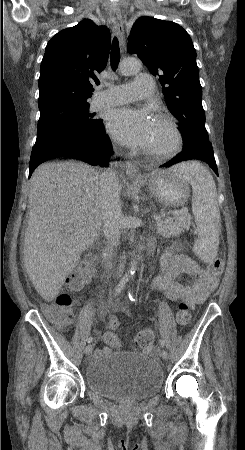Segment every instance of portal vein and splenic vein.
Here are the masks:
<instances>
[{
  "instance_id": "portal-vein-and-splenic-vein-1",
  "label": "portal vein and splenic vein",
  "mask_w": 245,
  "mask_h": 450,
  "mask_svg": "<svg viewBox=\"0 0 245 450\" xmlns=\"http://www.w3.org/2000/svg\"><path fill=\"white\" fill-rule=\"evenodd\" d=\"M182 213H188V209L185 207V208H183L181 211H179V212H174L173 214H174V215H179V214H182ZM154 220H155V221H160V220H161V216H160V215H154ZM67 231L70 232V233H72V232H73V229H72V228H69V229H67Z\"/></svg>"
}]
</instances>
